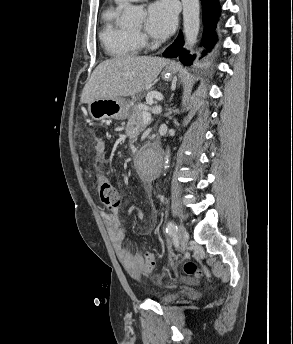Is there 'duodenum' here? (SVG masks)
Returning a JSON list of instances; mask_svg holds the SVG:
<instances>
[{"mask_svg":"<svg viewBox=\"0 0 293 344\" xmlns=\"http://www.w3.org/2000/svg\"><path fill=\"white\" fill-rule=\"evenodd\" d=\"M137 159H138V154H136V155L134 156V160H137ZM160 165H161V163L159 162V163L157 164V166L160 167Z\"/></svg>","mask_w":293,"mask_h":344,"instance_id":"obj_1","label":"duodenum"}]
</instances>
